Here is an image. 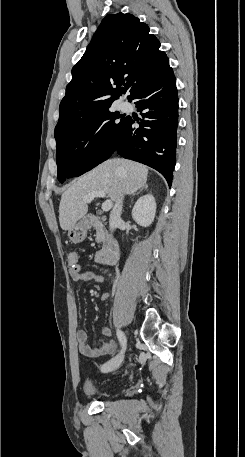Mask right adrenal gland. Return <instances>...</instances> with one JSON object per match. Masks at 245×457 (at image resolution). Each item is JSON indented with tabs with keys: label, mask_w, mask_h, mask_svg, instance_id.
Listing matches in <instances>:
<instances>
[{
	"label": "right adrenal gland",
	"mask_w": 245,
	"mask_h": 457,
	"mask_svg": "<svg viewBox=\"0 0 245 457\" xmlns=\"http://www.w3.org/2000/svg\"><path fill=\"white\" fill-rule=\"evenodd\" d=\"M148 188V184H144V186H142V188H140L139 192H143V190H147ZM139 192H135V194H139ZM135 194H132V196H135Z\"/></svg>",
	"instance_id": "2a0ac1e0"
}]
</instances>
